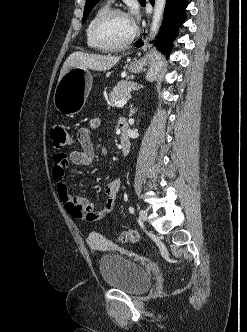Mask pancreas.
<instances>
[{
	"mask_svg": "<svg viewBox=\"0 0 247 332\" xmlns=\"http://www.w3.org/2000/svg\"><path fill=\"white\" fill-rule=\"evenodd\" d=\"M136 83L128 82V81H121L119 82L109 94V105H113L115 101L127 99L130 97V93L133 90H137Z\"/></svg>",
	"mask_w": 247,
	"mask_h": 332,
	"instance_id": "obj_1",
	"label": "pancreas"
}]
</instances>
